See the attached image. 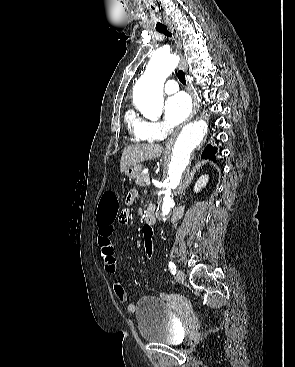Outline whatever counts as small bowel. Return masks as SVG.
Here are the masks:
<instances>
[{"instance_id": "1", "label": "small bowel", "mask_w": 295, "mask_h": 367, "mask_svg": "<svg viewBox=\"0 0 295 367\" xmlns=\"http://www.w3.org/2000/svg\"><path fill=\"white\" fill-rule=\"evenodd\" d=\"M136 193L135 191H130L127 195V202L132 203L135 199ZM129 199V201H128ZM129 214L128 208H121L118 213L117 222L120 226L128 225V217ZM115 225L114 220L111 221H101L98 219V233H97V241L100 248V255L104 264V269L109 274H115L117 272V263L114 256V249L111 242V237L114 233ZM112 287L115 296L121 302L128 301V294L123 286V282L119 278H115L112 282ZM127 310L129 312L136 311V305L133 303L127 304Z\"/></svg>"}]
</instances>
